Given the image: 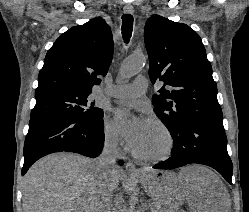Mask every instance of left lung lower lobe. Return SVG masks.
<instances>
[{"instance_id": "1", "label": "left lung lower lobe", "mask_w": 249, "mask_h": 212, "mask_svg": "<svg viewBox=\"0 0 249 212\" xmlns=\"http://www.w3.org/2000/svg\"><path fill=\"white\" fill-rule=\"evenodd\" d=\"M169 131L174 140L172 157L153 168L172 169L187 164H203L217 170L232 184L233 165L227 152L223 120H185L177 130Z\"/></svg>"}]
</instances>
